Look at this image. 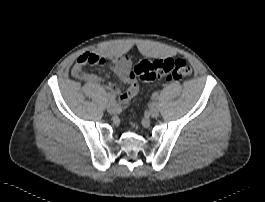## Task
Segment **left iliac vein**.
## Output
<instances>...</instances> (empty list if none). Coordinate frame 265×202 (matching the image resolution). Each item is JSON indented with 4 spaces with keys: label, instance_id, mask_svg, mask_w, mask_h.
I'll use <instances>...</instances> for the list:
<instances>
[{
    "label": "left iliac vein",
    "instance_id": "left-iliac-vein-1",
    "mask_svg": "<svg viewBox=\"0 0 265 202\" xmlns=\"http://www.w3.org/2000/svg\"><path fill=\"white\" fill-rule=\"evenodd\" d=\"M149 113L152 117H157L159 114V106L157 103H152L149 107Z\"/></svg>",
    "mask_w": 265,
    "mask_h": 202
}]
</instances>
